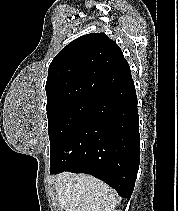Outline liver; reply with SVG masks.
I'll return each instance as SVG.
<instances>
[{
  "instance_id": "1",
  "label": "liver",
  "mask_w": 178,
  "mask_h": 211,
  "mask_svg": "<svg viewBox=\"0 0 178 211\" xmlns=\"http://www.w3.org/2000/svg\"><path fill=\"white\" fill-rule=\"evenodd\" d=\"M55 190L60 211H114L118 202L111 187L86 174H59Z\"/></svg>"
}]
</instances>
